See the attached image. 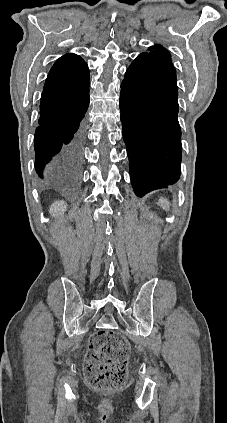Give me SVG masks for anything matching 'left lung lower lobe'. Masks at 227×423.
Here are the masks:
<instances>
[{
  "label": "left lung lower lobe",
  "mask_w": 227,
  "mask_h": 423,
  "mask_svg": "<svg viewBox=\"0 0 227 423\" xmlns=\"http://www.w3.org/2000/svg\"><path fill=\"white\" fill-rule=\"evenodd\" d=\"M119 103L136 195L175 184L182 153L178 109L154 84L131 74H125Z\"/></svg>",
  "instance_id": "0a47b994"
}]
</instances>
